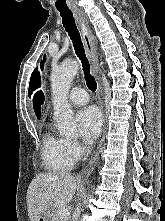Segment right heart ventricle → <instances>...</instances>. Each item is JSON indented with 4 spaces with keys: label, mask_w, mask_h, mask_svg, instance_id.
<instances>
[{
    "label": "right heart ventricle",
    "mask_w": 165,
    "mask_h": 221,
    "mask_svg": "<svg viewBox=\"0 0 165 221\" xmlns=\"http://www.w3.org/2000/svg\"><path fill=\"white\" fill-rule=\"evenodd\" d=\"M41 158L45 169L59 172L71 169L77 157L67 147V139L47 130L42 139Z\"/></svg>",
    "instance_id": "e07e8e85"
}]
</instances>
